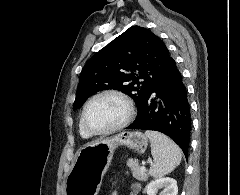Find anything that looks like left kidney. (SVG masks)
I'll list each match as a JSON object with an SVG mask.
<instances>
[{
  "label": "left kidney",
  "instance_id": "1",
  "mask_svg": "<svg viewBox=\"0 0 240 195\" xmlns=\"http://www.w3.org/2000/svg\"><path fill=\"white\" fill-rule=\"evenodd\" d=\"M161 195H177L178 185L176 179L173 177H160V179H155V181H150L145 187L147 195H156L158 189H161Z\"/></svg>",
  "mask_w": 240,
  "mask_h": 195
}]
</instances>
